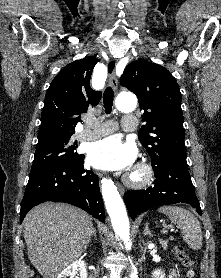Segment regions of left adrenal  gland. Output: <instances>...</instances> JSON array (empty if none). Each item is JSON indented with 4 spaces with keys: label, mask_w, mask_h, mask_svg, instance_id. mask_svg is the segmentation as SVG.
Masks as SVG:
<instances>
[{
    "label": "left adrenal gland",
    "mask_w": 221,
    "mask_h": 278,
    "mask_svg": "<svg viewBox=\"0 0 221 278\" xmlns=\"http://www.w3.org/2000/svg\"><path fill=\"white\" fill-rule=\"evenodd\" d=\"M143 235L145 236V235H148V236H150V237H152L153 235L151 234V231L148 229V224H146V227H145V229H144V231H143Z\"/></svg>",
    "instance_id": "left-adrenal-gland-1"
}]
</instances>
